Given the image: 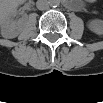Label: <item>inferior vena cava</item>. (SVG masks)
<instances>
[{"mask_svg":"<svg viewBox=\"0 0 103 103\" xmlns=\"http://www.w3.org/2000/svg\"><path fill=\"white\" fill-rule=\"evenodd\" d=\"M36 6L39 10H47L49 8V2L46 0H38Z\"/></svg>","mask_w":103,"mask_h":103,"instance_id":"1","label":"inferior vena cava"}]
</instances>
